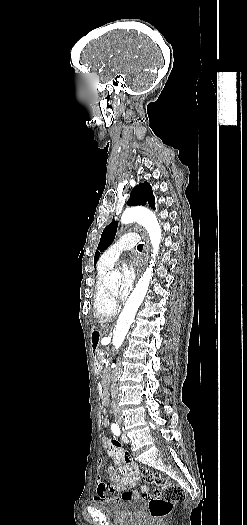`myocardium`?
Returning <instances> with one entry per match:
<instances>
[{
	"label": "myocardium",
	"instance_id": "1",
	"mask_svg": "<svg viewBox=\"0 0 247 525\" xmlns=\"http://www.w3.org/2000/svg\"><path fill=\"white\" fill-rule=\"evenodd\" d=\"M117 262H118V261H117ZM117 262H116V263H117ZM116 263H115V264H116ZM105 289H106V291L109 289L107 281L105 282Z\"/></svg>",
	"mask_w": 247,
	"mask_h": 525
}]
</instances>
